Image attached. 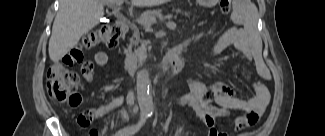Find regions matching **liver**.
I'll list each match as a JSON object with an SVG mask.
<instances>
[{
  "mask_svg": "<svg viewBox=\"0 0 325 136\" xmlns=\"http://www.w3.org/2000/svg\"><path fill=\"white\" fill-rule=\"evenodd\" d=\"M116 0H60L49 40V57L59 61L77 45L80 38L99 24L104 5ZM165 0H131L133 6H152ZM117 3V2H116Z\"/></svg>",
  "mask_w": 325,
  "mask_h": 136,
  "instance_id": "obj_1",
  "label": "liver"
}]
</instances>
